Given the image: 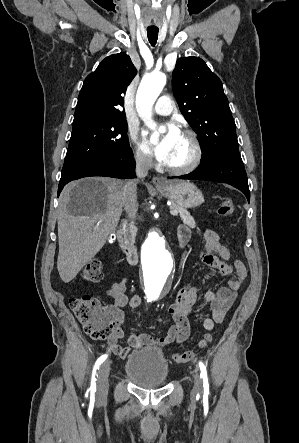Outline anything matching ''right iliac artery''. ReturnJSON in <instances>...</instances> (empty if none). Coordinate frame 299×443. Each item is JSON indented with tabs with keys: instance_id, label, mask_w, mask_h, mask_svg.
<instances>
[{
	"instance_id": "right-iliac-artery-1",
	"label": "right iliac artery",
	"mask_w": 299,
	"mask_h": 443,
	"mask_svg": "<svg viewBox=\"0 0 299 443\" xmlns=\"http://www.w3.org/2000/svg\"><path fill=\"white\" fill-rule=\"evenodd\" d=\"M107 357H108L107 354H104V355L100 356L97 359V361H96V363H95V365L93 367L92 378H91V385H90V390H91L92 393H94L96 391V378H95L96 371H97V369H99V366L107 359Z\"/></svg>"
}]
</instances>
